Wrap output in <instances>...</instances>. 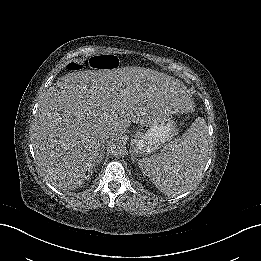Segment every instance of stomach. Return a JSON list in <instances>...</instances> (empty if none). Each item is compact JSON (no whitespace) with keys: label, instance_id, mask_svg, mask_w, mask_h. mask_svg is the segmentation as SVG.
I'll use <instances>...</instances> for the list:
<instances>
[{"label":"stomach","instance_id":"obj_1","mask_svg":"<svg viewBox=\"0 0 261 261\" xmlns=\"http://www.w3.org/2000/svg\"><path fill=\"white\" fill-rule=\"evenodd\" d=\"M168 117L164 112L145 118L136 130L132 140L133 152L147 155L155 152L169 138L171 132Z\"/></svg>","mask_w":261,"mask_h":261}]
</instances>
